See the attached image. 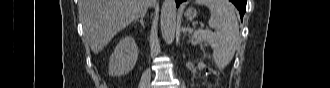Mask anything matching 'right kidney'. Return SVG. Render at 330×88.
<instances>
[{
  "label": "right kidney",
  "mask_w": 330,
  "mask_h": 88,
  "mask_svg": "<svg viewBox=\"0 0 330 88\" xmlns=\"http://www.w3.org/2000/svg\"><path fill=\"white\" fill-rule=\"evenodd\" d=\"M138 48L132 36H126L116 45L109 59V74L120 76L129 73L136 65Z\"/></svg>",
  "instance_id": "1"
}]
</instances>
